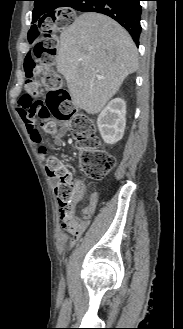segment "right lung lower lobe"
<instances>
[{
    "label": "right lung lower lobe",
    "instance_id": "1",
    "mask_svg": "<svg viewBox=\"0 0 183 329\" xmlns=\"http://www.w3.org/2000/svg\"><path fill=\"white\" fill-rule=\"evenodd\" d=\"M140 0H72L71 8L82 12H97L105 14L128 30L132 39L139 45L141 33Z\"/></svg>",
    "mask_w": 183,
    "mask_h": 329
}]
</instances>
